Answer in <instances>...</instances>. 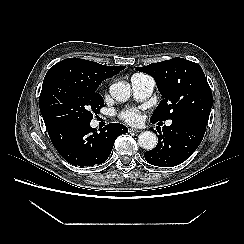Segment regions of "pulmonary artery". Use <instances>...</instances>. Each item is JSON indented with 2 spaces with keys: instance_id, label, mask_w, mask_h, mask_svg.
<instances>
[{
  "instance_id": "e3ab8cb5",
  "label": "pulmonary artery",
  "mask_w": 244,
  "mask_h": 244,
  "mask_svg": "<svg viewBox=\"0 0 244 244\" xmlns=\"http://www.w3.org/2000/svg\"><path fill=\"white\" fill-rule=\"evenodd\" d=\"M131 85L135 98L144 100L152 94L155 87V81L150 76L137 74L131 78ZM171 123L172 122L168 120L166 124L170 126Z\"/></svg>"
}]
</instances>
